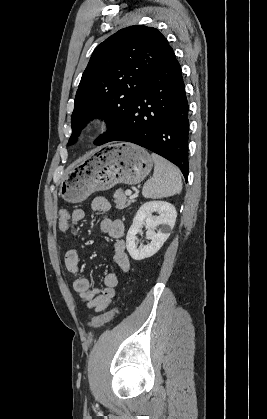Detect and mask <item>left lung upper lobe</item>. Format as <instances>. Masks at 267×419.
Instances as JSON below:
<instances>
[{"instance_id": "5c2ea615", "label": "left lung upper lobe", "mask_w": 267, "mask_h": 419, "mask_svg": "<svg viewBox=\"0 0 267 419\" xmlns=\"http://www.w3.org/2000/svg\"><path fill=\"white\" fill-rule=\"evenodd\" d=\"M168 49L163 34L142 25L121 29L99 44L76 93L68 144L75 143L80 131L96 116L104 117L108 126L122 121Z\"/></svg>"}]
</instances>
